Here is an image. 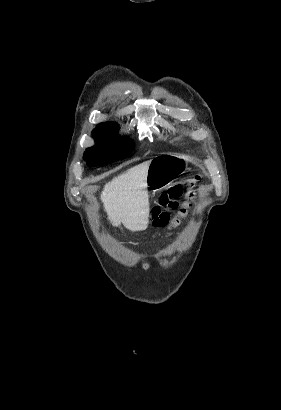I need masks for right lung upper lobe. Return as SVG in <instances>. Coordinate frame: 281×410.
Here are the masks:
<instances>
[{
  "label": "right lung upper lobe",
  "instance_id": "right-lung-upper-lobe-1",
  "mask_svg": "<svg viewBox=\"0 0 281 410\" xmlns=\"http://www.w3.org/2000/svg\"><path fill=\"white\" fill-rule=\"evenodd\" d=\"M106 124H114V123H112V122H107Z\"/></svg>",
  "mask_w": 281,
  "mask_h": 410
}]
</instances>
